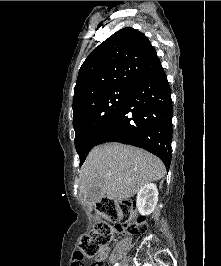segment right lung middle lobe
<instances>
[{
  "label": "right lung middle lobe",
  "instance_id": "1",
  "mask_svg": "<svg viewBox=\"0 0 221 266\" xmlns=\"http://www.w3.org/2000/svg\"><path fill=\"white\" fill-rule=\"evenodd\" d=\"M132 87L106 89L85 98L73 113L75 146L80 165L106 127L119 115L125 106Z\"/></svg>",
  "mask_w": 221,
  "mask_h": 266
}]
</instances>
